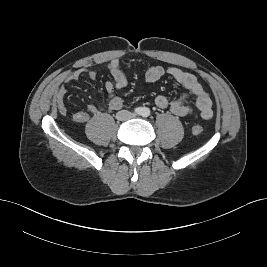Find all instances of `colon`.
<instances>
[{"instance_id": "obj_1", "label": "colon", "mask_w": 267, "mask_h": 267, "mask_svg": "<svg viewBox=\"0 0 267 267\" xmlns=\"http://www.w3.org/2000/svg\"><path fill=\"white\" fill-rule=\"evenodd\" d=\"M192 130H193V132H194L195 134H200V133L203 132V127H202L201 125H199V124H195V125L193 126Z\"/></svg>"}]
</instances>
